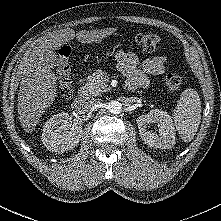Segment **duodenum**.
<instances>
[{
    "mask_svg": "<svg viewBox=\"0 0 221 221\" xmlns=\"http://www.w3.org/2000/svg\"><path fill=\"white\" fill-rule=\"evenodd\" d=\"M85 103H86V95L82 93L73 102L72 108L75 110H81L84 108Z\"/></svg>",
    "mask_w": 221,
    "mask_h": 221,
    "instance_id": "duodenum-1",
    "label": "duodenum"
}]
</instances>
